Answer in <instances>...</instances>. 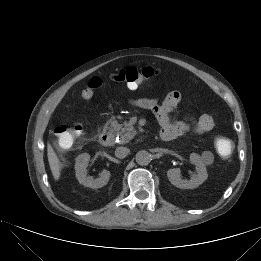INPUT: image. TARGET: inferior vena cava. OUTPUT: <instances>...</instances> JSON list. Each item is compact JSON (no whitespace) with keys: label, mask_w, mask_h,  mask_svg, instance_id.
Segmentation results:
<instances>
[{"label":"inferior vena cava","mask_w":261,"mask_h":261,"mask_svg":"<svg viewBox=\"0 0 261 261\" xmlns=\"http://www.w3.org/2000/svg\"><path fill=\"white\" fill-rule=\"evenodd\" d=\"M130 150L127 147H118L115 150V156L117 158H125L129 154Z\"/></svg>","instance_id":"1"}]
</instances>
